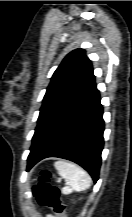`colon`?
<instances>
[{
    "label": "colon",
    "mask_w": 132,
    "mask_h": 217,
    "mask_svg": "<svg viewBox=\"0 0 132 217\" xmlns=\"http://www.w3.org/2000/svg\"><path fill=\"white\" fill-rule=\"evenodd\" d=\"M50 178L49 171H42L33 187V194L41 206L52 209L57 217H63L65 205L61 200L59 188L51 185Z\"/></svg>",
    "instance_id": "colon-1"
}]
</instances>
